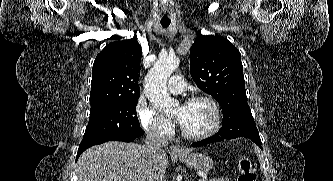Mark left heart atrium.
<instances>
[{"instance_id": "left-heart-atrium-1", "label": "left heart atrium", "mask_w": 333, "mask_h": 181, "mask_svg": "<svg viewBox=\"0 0 333 181\" xmlns=\"http://www.w3.org/2000/svg\"><path fill=\"white\" fill-rule=\"evenodd\" d=\"M176 118H177V122L182 125L183 124V113L181 112Z\"/></svg>"}]
</instances>
